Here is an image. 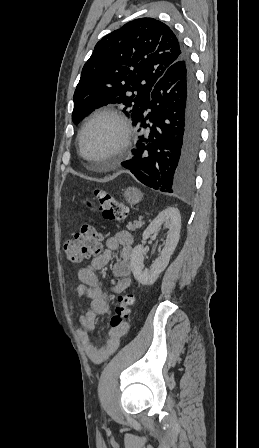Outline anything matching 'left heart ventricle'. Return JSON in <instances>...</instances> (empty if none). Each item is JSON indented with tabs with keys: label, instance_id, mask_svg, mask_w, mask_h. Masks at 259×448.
<instances>
[{
	"label": "left heart ventricle",
	"instance_id": "obj_1",
	"mask_svg": "<svg viewBox=\"0 0 259 448\" xmlns=\"http://www.w3.org/2000/svg\"><path fill=\"white\" fill-rule=\"evenodd\" d=\"M118 125L110 119L93 122L82 138V159L88 162H105L109 148L118 137Z\"/></svg>",
	"mask_w": 259,
	"mask_h": 448
}]
</instances>
